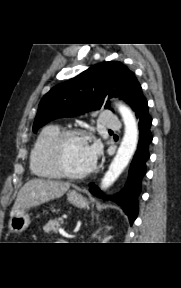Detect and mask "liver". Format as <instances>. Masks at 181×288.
I'll use <instances>...</instances> for the list:
<instances>
[{
  "instance_id": "6515ba94",
  "label": "liver",
  "mask_w": 181,
  "mask_h": 288,
  "mask_svg": "<svg viewBox=\"0 0 181 288\" xmlns=\"http://www.w3.org/2000/svg\"><path fill=\"white\" fill-rule=\"evenodd\" d=\"M70 185V183L39 178L27 181L18 192L10 216L63 196L70 188Z\"/></svg>"
}]
</instances>
